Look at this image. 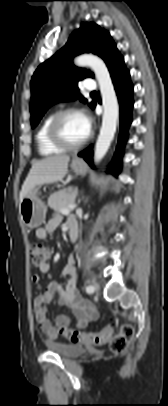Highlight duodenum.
Returning a JSON list of instances; mask_svg holds the SVG:
<instances>
[{
  "mask_svg": "<svg viewBox=\"0 0 168 406\" xmlns=\"http://www.w3.org/2000/svg\"><path fill=\"white\" fill-rule=\"evenodd\" d=\"M69 227V240L71 243H75L79 237V225L77 221H70L68 223Z\"/></svg>",
  "mask_w": 168,
  "mask_h": 406,
  "instance_id": "410a0bca",
  "label": "duodenum"
}]
</instances>
